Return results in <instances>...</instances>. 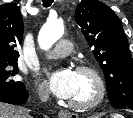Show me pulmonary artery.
<instances>
[{
    "label": "pulmonary artery",
    "mask_w": 133,
    "mask_h": 118,
    "mask_svg": "<svg viewBox=\"0 0 133 118\" xmlns=\"http://www.w3.org/2000/svg\"><path fill=\"white\" fill-rule=\"evenodd\" d=\"M73 45L67 39L59 40L53 50L47 54L49 59H60L66 57L72 50Z\"/></svg>",
    "instance_id": "pulmonary-artery-1"
}]
</instances>
